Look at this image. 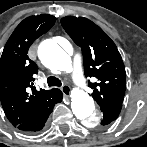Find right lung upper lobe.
Returning <instances> with one entry per match:
<instances>
[{"label": "right lung upper lobe", "instance_id": "cb5924a9", "mask_svg": "<svg viewBox=\"0 0 147 147\" xmlns=\"http://www.w3.org/2000/svg\"><path fill=\"white\" fill-rule=\"evenodd\" d=\"M52 15L24 19L8 39L0 59V100L8 120L17 126L52 102L58 89L37 90L33 81L38 67L28 57L31 44L55 23Z\"/></svg>", "mask_w": 147, "mask_h": 147}]
</instances>
